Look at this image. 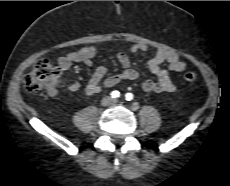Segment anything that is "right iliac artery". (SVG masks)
Returning <instances> with one entry per match:
<instances>
[{
    "mask_svg": "<svg viewBox=\"0 0 230 186\" xmlns=\"http://www.w3.org/2000/svg\"><path fill=\"white\" fill-rule=\"evenodd\" d=\"M111 97L112 98H118V97H120V93L118 91H116V90L112 91L111 92Z\"/></svg>",
    "mask_w": 230,
    "mask_h": 186,
    "instance_id": "82829eb1",
    "label": "right iliac artery"
}]
</instances>
